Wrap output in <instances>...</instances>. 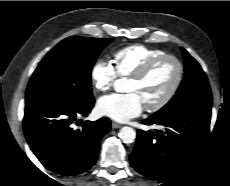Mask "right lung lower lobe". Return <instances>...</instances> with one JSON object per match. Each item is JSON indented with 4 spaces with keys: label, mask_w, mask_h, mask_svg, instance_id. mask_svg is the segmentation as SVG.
<instances>
[{
    "label": "right lung lower lobe",
    "mask_w": 230,
    "mask_h": 186,
    "mask_svg": "<svg viewBox=\"0 0 230 186\" xmlns=\"http://www.w3.org/2000/svg\"><path fill=\"white\" fill-rule=\"evenodd\" d=\"M94 102V99L78 103L46 99L26 104L25 136L47 169L62 175H76L95 164L101 137L110 130V120L103 117L84 122L81 130L72 128L77 117L90 113Z\"/></svg>",
    "instance_id": "obj_1"
}]
</instances>
